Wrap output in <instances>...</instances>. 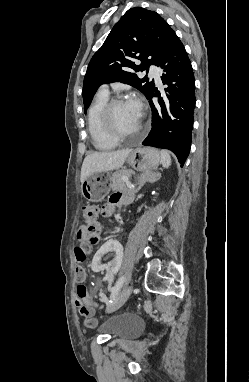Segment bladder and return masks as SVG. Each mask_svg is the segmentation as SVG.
<instances>
[{
  "label": "bladder",
  "mask_w": 249,
  "mask_h": 382,
  "mask_svg": "<svg viewBox=\"0 0 249 382\" xmlns=\"http://www.w3.org/2000/svg\"><path fill=\"white\" fill-rule=\"evenodd\" d=\"M142 328L141 320L132 315L110 318L100 326V330L112 338H130L137 335Z\"/></svg>",
  "instance_id": "obj_1"
}]
</instances>
